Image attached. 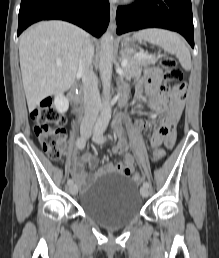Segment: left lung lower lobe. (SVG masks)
<instances>
[{
  "instance_id": "1",
  "label": "left lung lower lobe",
  "mask_w": 219,
  "mask_h": 258,
  "mask_svg": "<svg viewBox=\"0 0 219 258\" xmlns=\"http://www.w3.org/2000/svg\"><path fill=\"white\" fill-rule=\"evenodd\" d=\"M116 22L119 35L143 28H164L179 32L194 47L191 0H137L118 7Z\"/></svg>"
}]
</instances>
